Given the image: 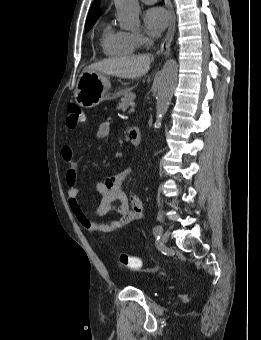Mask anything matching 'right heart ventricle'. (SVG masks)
<instances>
[{"label": "right heart ventricle", "mask_w": 261, "mask_h": 340, "mask_svg": "<svg viewBox=\"0 0 261 340\" xmlns=\"http://www.w3.org/2000/svg\"><path fill=\"white\" fill-rule=\"evenodd\" d=\"M101 47L108 56L123 57L132 55L138 44L132 33L115 29L107 24L102 31Z\"/></svg>", "instance_id": "1"}]
</instances>
